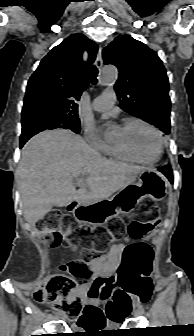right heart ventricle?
<instances>
[{"instance_id": "1", "label": "right heart ventricle", "mask_w": 194, "mask_h": 336, "mask_svg": "<svg viewBox=\"0 0 194 336\" xmlns=\"http://www.w3.org/2000/svg\"><path fill=\"white\" fill-rule=\"evenodd\" d=\"M104 154L119 161H134L126 156L114 143L108 144Z\"/></svg>"}]
</instances>
